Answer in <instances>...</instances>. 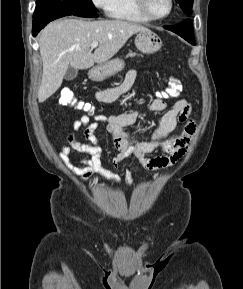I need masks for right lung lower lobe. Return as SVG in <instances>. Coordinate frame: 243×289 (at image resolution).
<instances>
[{
    "instance_id": "1",
    "label": "right lung lower lobe",
    "mask_w": 243,
    "mask_h": 289,
    "mask_svg": "<svg viewBox=\"0 0 243 289\" xmlns=\"http://www.w3.org/2000/svg\"><path fill=\"white\" fill-rule=\"evenodd\" d=\"M69 15H75L80 17H98V15L95 12L92 11H75L71 9H47V10H40L35 9L34 15H33V28H32V34L33 36H36L38 32L50 21L63 17V16H69Z\"/></svg>"
}]
</instances>
